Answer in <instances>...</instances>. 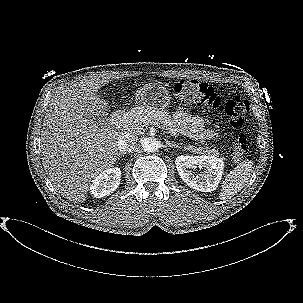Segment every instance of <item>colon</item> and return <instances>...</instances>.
Wrapping results in <instances>:
<instances>
[{
  "label": "colon",
  "instance_id": "colon-1",
  "mask_svg": "<svg viewBox=\"0 0 303 303\" xmlns=\"http://www.w3.org/2000/svg\"><path fill=\"white\" fill-rule=\"evenodd\" d=\"M173 93L183 105L224 115L233 128H240L243 125L249 111L247 100L238 96L223 100L212 87L195 80L177 81L173 85ZM247 150L246 137L240 132L232 139L231 156L234 160H241L246 155Z\"/></svg>",
  "mask_w": 303,
  "mask_h": 303
}]
</instances>
